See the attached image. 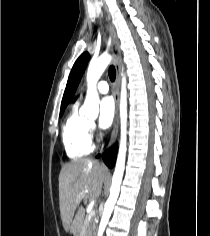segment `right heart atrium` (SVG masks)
<instances>
[{"label":"right heart atrium","instance_id":"obj_1","mask_svg":"<svg viewBox=\"0 0 210 236\" xmlns=\"http://www.w3.org/2000/svg\"><path fill=\"white\" fill-rule=\"evenodd\" d=\"M89 128H90V131L91 132H94L95 131V125L93 123H90L89 124Z\"/></svg>","mask_w":210,"mask_h":236}]
</instances>
